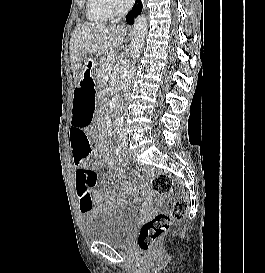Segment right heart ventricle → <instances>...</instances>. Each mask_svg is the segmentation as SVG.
<instances>
[{
    "mask_svg": "<svg viewBox=\"0 0 265 273\" xmlns=\"http://www.w3.org/2000/svg\"><path fill=\"white\" fill-rule=\"evenodd\" d=\"M88 15L92 20H107L113 14L103 6L100 0H89Z\"/></svg>",
    "mask_w": 265,
    "mask_h": 273,
    "instance_id": "1",
    "label": "right heart ventricle"
}]
</instances>
